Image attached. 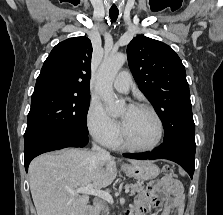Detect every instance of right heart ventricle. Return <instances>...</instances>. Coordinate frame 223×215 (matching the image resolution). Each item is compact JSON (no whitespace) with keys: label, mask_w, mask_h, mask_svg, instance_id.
Listing matches in <instances>:
<instances>
[{"label":"right heart ventricle","mask_w":223,"mask_h":215,"mask_svg":"<svg viewBox=\"0 0 223 215\" xmlns=\"http://www.w3.org/2000/svg\"><path fill=\"white\" fill-rule=\"evenodd\" d=\"M107 145H108L110 148L114 149V150H121V149H123V146L121 145V143L119 142V140H118L117 137H116L115 139L109 141V142L107 143Z\"/></svg>","instance_id":"e07e8e85"}]
</instances>
